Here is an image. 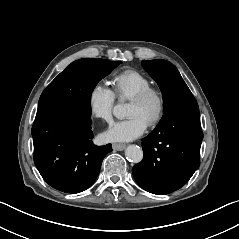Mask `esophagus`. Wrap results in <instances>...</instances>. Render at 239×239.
<instances>
[{
  "label": "esophagus",
  "mask_w": 239,
  "mask_h": 239,
  "mask_svg": "<svg viewBox=\"0 0 239 239\" xmlns=\"http://www.w3.org/2000/svg\"><path fill=\"white\" fill-rule=\"evenodd\" d=\"M125 147H126L125 144H120V143H113V144H112V148H113V150H115V151H122V150L125 149Z\"/></svg>",
  "instance_id": "obj_1"
}]
</instances>
